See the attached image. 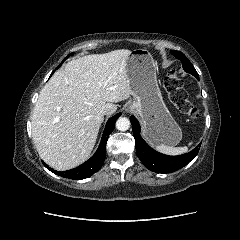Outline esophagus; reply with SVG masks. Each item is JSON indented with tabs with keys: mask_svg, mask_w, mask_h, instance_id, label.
Masks as SVG:
<instances>
[{
	"mask_svg": "<svg viewBox=\"0 0 240 240\" xmlns=\"http://www.w3.org/2000/svg\"><path fill=\"white\" fill-rule=\"evenodd\" d=\"M126 112H133L134 111V108H133V106L132 105H129V106H127V108H126V110H125Z\"/></svg>",
	"mask_w": 240,
	"mask_h": 240,
	"instance_id": "esophagus-1",
	"label": "esophagus"
}]
</instances>
